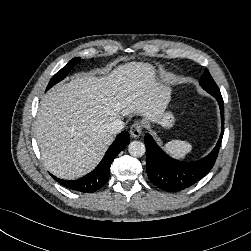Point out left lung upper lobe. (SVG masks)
<instances>
[{
    "label": "left lung upper lobe",
    "instance_id": "left-lung-upper-lobe-1",
    "mask_svg": "<svg viewBox=\"0 0 251 251\" xmlns=\"http://www.w3.org/2000/svg\"><path fill=\"white\" fill-rule=\"evenodd\" d=\"M199 82L202 88L206 90L208 93L220 94L218 86L216 85L215 81L213 80L212 76L210 75L207 69H205L204 74L202 75Z\"/></svg>",
    "mask_w": 251,
    "mask_h": 251
}]
</instances>
